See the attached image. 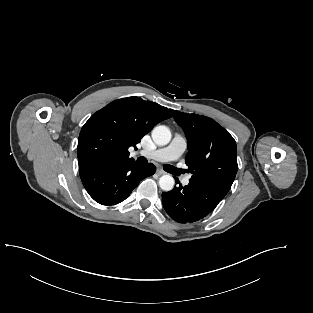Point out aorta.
<instances>
[{
  "label": "aorta",
  "instance_id": "1",
  "mask_svg": "<svg viewBox=\"0 0 313 313\" xmlns=\"http://www.w3.org/2000/svg\"><path fill=\"white\" fill-rule=\"evenodd\" d=\"M153 141L160 146L167 145L171 140V132L167 126L159 125L152 130ZM175 180L171 175H163L159 179L160 188L164 191L173 189Z\"/></svg>",
  "mask_w": 313,
  "mask_h": 313
}]
</instances>
